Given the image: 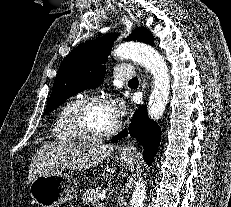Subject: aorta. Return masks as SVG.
Here are the masks:
<instances>
[{"mask_svg":"<svg viewBox=\"0 0 231 207\" xmlns=\"http://www.w3.org/2000/svg\"><path fill=\"white\" fill-rule=\"evenodd\" d=\"M114 55L117 58L137 61L153 75L154 86L148 102V116L152 120H158L165 111L170 90V76L162 56L154 48L137 42H126L119 45L114 50ZM145 188L146 181L140 178L135 184L129 207H143Z\"/></svg>","mask_w":231,"mask_h":207,"instance_id":"762f6f07","label":"aorta"}]
</instances>
